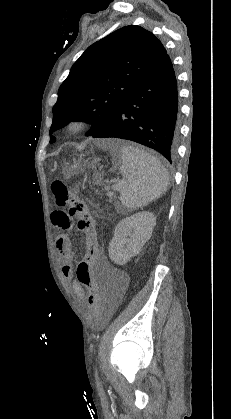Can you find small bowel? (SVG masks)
Segmentation results:
<instances>
[{
	"instance_id": "obj_1",
	"label": "small bowel",
	"mask_w": 231,
	"mask_h": 419,
	"mask_svg": "<svg viewBox=\"0 0 231 419\" xmlns=\"http://www.w3.org/2000/svg\"><path fill=\"white\" fill-rule=\"evenodd\" d=\"M71 219V214L64 211H54L52 213V222L56 226L57 232H69L72 227ZM55 250L61 262V271L64 281L67 284H71L77 298L82 303H85V297L87 295L81 287L80 282L74 281L75 270L72 265L74 257L71 239L68 234H59L56 237ZM92 266L98 272H101L102 268L109 267L107 258L103 252L100 251V256ZM102 289L105 305L104 314L105 317H110L122 302L124 285L120 278L112 277L105 281Z\"/></svg>"
}]
</instances>
